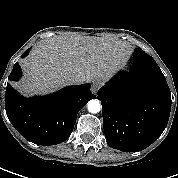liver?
Instances as JSON below:
<instances>
[{"instance_id":"obj_1","label":"liver","mask_w":178,"mask_h":178,"mask_svg":"<svg viewBox=\"0 0 178 178\" xmlns=\"http://www.w3.org/2000/svg\"><path fill=\"white\" fill-rule=\"evenodd\" d=\"M129 46L120 40L51 37L41 40L22 62L25 79L16 84L24 95L54 91L76 76L80 83L108 80L125 64Z\"/></svg>"}]
</instances>
